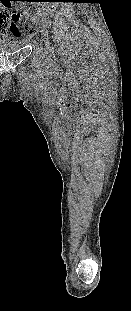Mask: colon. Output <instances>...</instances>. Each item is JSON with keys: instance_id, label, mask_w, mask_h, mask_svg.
<instances>
[{"instance_id": "colon-1", "label": "colon", "mask_w": 131, "mask_h": 311, "mask_svg": "<svg viewBox=\"0 0 131 311\" xmlns=\"http://www.w3.org/2000/svg\"><path fill=\"white\" fill-rule=\"evenodd\" d=\"M17 16V12L15 11H1L0 10V31H2L3 29L6 28H18L19 31H21V29H24L25 31H32L33 29L36 28V26L32 23H22L20 24H16V20L15 17Z\"/></svg>"}]
</instances>
